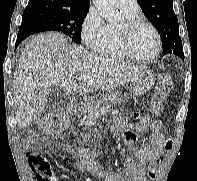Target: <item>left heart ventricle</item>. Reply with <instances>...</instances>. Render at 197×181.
Wrapping results in <instances>:
<instances>
[{
    "mask_svg": "<svg viewBox=\"0 0 197 181\" xmlns=\"http://www.w3.org/2000/svg\"><path fill=\"white\" fill-rule=\"evenodd\" d=\"M131 46L141 57L152 56L157 48V40L153 31L145 25L138 27L132 34Z\"/></svg>",
    "mask_w": 197,
    "mask_h": 181,
    "instance_id": "left-heart-ventricle-1",
    "label": "left heart ventricle"
}]
</instances>
